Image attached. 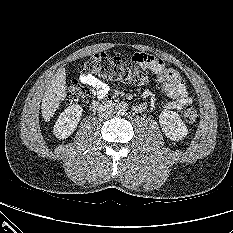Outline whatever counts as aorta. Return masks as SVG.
Here are the masks:
<instances>
[{
  "label": "aorta",
  "mask_w": 233,
  "mask_h": 233,
  "mask_svg": "<svg viewBox=\"0 0 233 233\" xmlns=\"http://www.w3.org/2000/svg\"><path fill=\"white\" fill-rule=\"evenodd\" d=\"M127 109H126V106L123 105V104H119L116 106V114L117 115H124L126 113Z\"/></svg>",
  "instance_id": "aorta-1"
}]
</instances>
